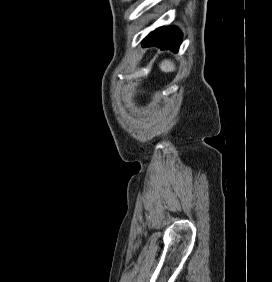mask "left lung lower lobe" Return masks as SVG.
Returning <instances> with one entry per match:
<instances>
[{
    "label": "left lung lower lobe",
    "instance_id": "1",
    "mask_svg": "<svg viewBox=\"0 0 272 282\" xmlns=\"http://www.w3.org/2000/svg\"><path fill=\"white\" fill-rule=\"evenodd\" d=\"M182 40V33L174 26L161 27L151 32L142 42L144 47L157 46L162 50L177 52Z\"/></svg>",
    "mask_w": 272,
    "mask_h": 282
}]
</instances>
